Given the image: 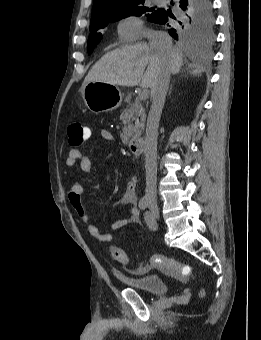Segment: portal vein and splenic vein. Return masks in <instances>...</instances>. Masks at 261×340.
Returning a JSON list of instances; mask_svg holds the SVG:
<instances>
[{
  "mask_svg": "<svg viewBox=\"0 0 261 340\" xmlns=\"http://www.w3.org/2000/svg\"><path fill=\"white\" fill-rule=\"evenodd\" d=\"M148 93H149L148 90L143 91V92L139 95L138 99L141 100V101H142V100H146V99L148 98Z\"/></svg>",
  "mask_w": 261,
  "mask_h": 340,
  "instance_id": "portal-vein-and-splenic-vein-1",
  "label": "portal vein and splenic vein"
}]
</instances>
